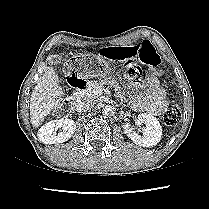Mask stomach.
Segmentation results:
<instances>
[{
  "mask_svg": "<svg viewBox=\"0 0 209 209\" xmlns=\"http://www.w3.org/2000/svg\"><path fill=\"white\" fill-rule=\"evenodd\" d=\"M64 68L71 75H79L84 79H95L106 75L109 71V62L101 55L71 56L66 59Z\"/></svg>",
  "mask_w": 209,
  "mask_h": 209,
  "instance_id": "stomach-1",
  "label": "stomach"
}]
</instances>
